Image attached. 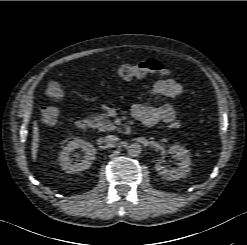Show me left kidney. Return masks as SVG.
<instances>
[{
    "instance_id": "left-kidney-1",
    "label": "left kidney",
    "mask_w": 247,
    "mask_h": 245,
    "mask_svg": "<svg viewBox=\"0 0 247 245\" xmlns=\"http://www.w3.org/2000/svg\"><path fill=\"white\" fill-rule=\"evenodd\" d=\"M168 151L171 154H175L176 157L180 160L179 167L167 169L164 165H162V161L158 160L155 164L156 171L158 174L163 176V178L170 181L185 178L191 171V159L189 151L177 144L172 145Z\"/></svg>"
}]
</instances>
